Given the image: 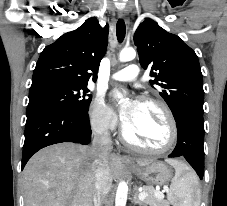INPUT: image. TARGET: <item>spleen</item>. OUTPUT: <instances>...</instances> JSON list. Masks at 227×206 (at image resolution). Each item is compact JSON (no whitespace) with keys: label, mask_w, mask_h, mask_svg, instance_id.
I'll return each mask as SVG.
<instances>
[{"label":"spleen","mask_w":227,"mask_h":206,"mask_svg":"<svg viewBox=\"0 0 227 206\" xmlns=\"http://www.w3.org/2000/svg\"><path fill=\"white\" fill-rule=\"evenodd\" d=\"M175 169V177L170 186V199L174 206H199L200 189L198 179L188 167L177 160H167Z\"/></svg>","instance_id":"3e777b00"}]
</instances>
